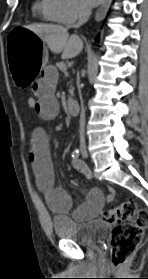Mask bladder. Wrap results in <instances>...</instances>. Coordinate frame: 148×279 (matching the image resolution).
I'll list each match as a JSON object with an SVG mask.
<instances>
[{
  "instance_id": "obj_1",
  "label": "bladder",
  "mask_w": 148,
  "mask_h": 279,
  "mask_svg": "<svg viewBox=\"0 0 148 279\" xmlns=\"http://www.w3.org/2000/svg\"><path fill=\"white\" fill-rule=\"evenodd\" d=\"M52 225L58 238L81 246H94L109 232V225L101 220L80 223L70 217H54Z\"/></svg>"
}]
</instances>
